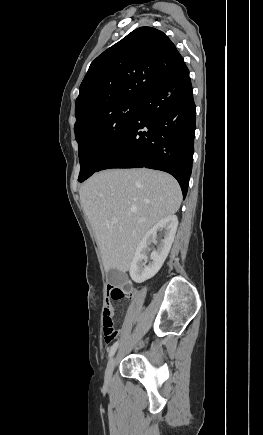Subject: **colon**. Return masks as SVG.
Here are the masks:
<instances>
[{"label":"colon","instance_id":"1","mask_svg":"<svg viewBox=\"0 0 263 435\" xmlns=\"http://www.w3.org/2000/svg\"><path fill=\"white\" fill-rule=\"evenodd\" d=\"M128 293L129 287L127 285H109L108 287V295L111 300H121ZM103 333L107 343H110L117 335L111 312H103Z\"/></svg>","mask_w":263,"mask_h":435}]
</instances>
